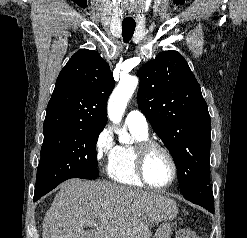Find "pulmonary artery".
<instances>
[{
  "mask_svg": "<svg viewBox=\"0 0 247 238\" xmlns=\"http://www.w3.org/2000/svg\"><path fill=\"white\" fill-rule=\"evenodd\" d=\"M125 123L128 127L135 128L142 132H148L147 119L144 114L137 109H133L127 114Z\"/></svg>",
  "mask_w": 247,
  "mask_h": 238,
  "instance_id": "e3ab8cb5",
  "label": "pulmonary artery"
}]
</instances>
